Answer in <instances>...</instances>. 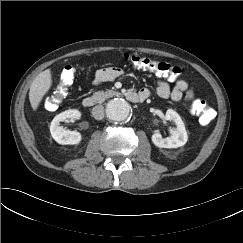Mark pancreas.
Returning a JSON list of instances; mask_svg holds the SVG:
<instances>
[{
    "label": "pancreas",
    "instance_id": "pancreas-1",
    "mask_svg": "<svg viewBox=\"0 0 243 243\" xmlns=\"http://www.w3.org/2000/svg\"><path fill=\"white\" fill-rule=\"evenodd\" d=\"M119 94V92L114 90L97 91L92 95V99L97 103H102L107 98L118 96Z\"/></svg>",
    "mask_w": 243,
    "mask_h": 243
}]
</instances>
